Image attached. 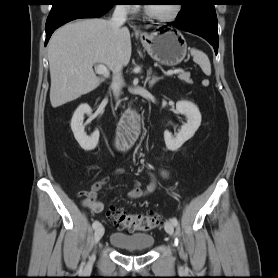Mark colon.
I'll return each mask as SVG.
<instances>
[{
  "mask_svg": "<svg viewBox=\"0 0 278 278\" xmlns=\"http://www.w3.org/2000/svg\"><path fill=\"white\" fill-rule=\"evenodd\" d=\"M108 216L114 219L116 226L129 231H148L157 228L161 218L153 213H129L110 207Z\"/></svg>",
  "mask_w": 278,
  "mask_h": 278,
  "instance_id": "5ec220e1",
  "label": "colon"
}]
</instances>
